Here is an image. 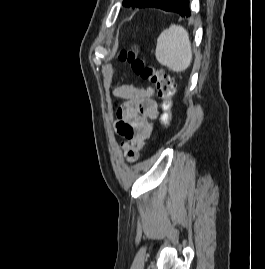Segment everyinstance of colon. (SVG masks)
I'll list each match as a JSON object with an SVG mask.
<instances>
[{
    "instance_id": "colon-1",
    "label": "colon",
    "mask_w": 265,
    "mask_h": 269,
    "mask_svg": "<svg viewBox=\"0 0 265 269\" xmlns=\"http://www.w3.org/2000/svg\"><path fill=\"white\" fill-rule=\"evenodd\" d=\"M119 60L120 62L129 63L133 71L141 79L155 87L160 110L158 121L163 127L169 126L171 123L173 97L176 91L172 77L165 70L147 64L135 51H121ZM118 131L126 139H131L135 134V128L124 121L120 122Z\"/></svg>"
}]
</instances>
